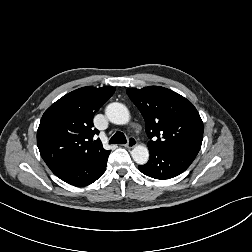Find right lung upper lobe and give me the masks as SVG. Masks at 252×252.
<instances>
[{"label": "right lung upper lobe", "mask_w": 252, "mask_h": 252, "mask_svg": "<svg viewBox=\"0 0 252 252\" xmlns=\"http://www.w3.org/2000/svg\"><path fill=\"white\" fill-rule=\"evenodd\" d=\"M115 88L82 87L53 103L43 114L37 131L40 154L54 173L83 160L106 158V151L93 128V116L114 94Z\"/></svg>", "instance_id": "obj_1"}]
</instances>
